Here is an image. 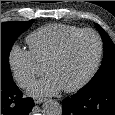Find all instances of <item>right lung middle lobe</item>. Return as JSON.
I'll return each mask as SVG.
<instances>
[{
    "mask_svg": "<svg viewBox=\"0 0 115 115\" xmlns=\"http://www.w3.org/2000/svg\"><path fill=\"white\" fill-rule=\"evenodd\" d=\"M33 21L1 23V81H13L9 53L17 37L27 30Z\"/></svg>",
    "mask_w": 115,
    "mask_h": 115,
    "instance_id": "dd1d6c3e",
    "label": "right lung middle lobe"
}]
</instances>
